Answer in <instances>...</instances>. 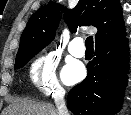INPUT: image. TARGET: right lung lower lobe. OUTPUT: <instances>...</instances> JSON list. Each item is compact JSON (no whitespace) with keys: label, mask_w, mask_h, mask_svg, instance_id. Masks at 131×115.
<instances>
[{"label":"right lung lower lobe","mask_w":131,"mask_h":115,"mask_svg":"<svg viewBox=\"0 0 131 115\" xmlns=\"http://www.w3.org/2000/svg\"><path fill=\"white\" fill-rule=\"evenodd\" d=\"M128 40L97 45L88 75L68 94V109L74 115H113L121 106L129 69Z\"/></svg>","instance_id":"obj_1"}]
</instances>
